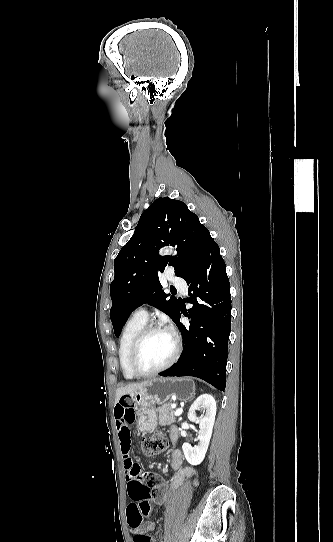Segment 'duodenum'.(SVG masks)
Returning <instances> with one entry per match:
<instances>
[{
    "instance_id": "obj_1",
    "label": "duodenum",
    "mask_w": 333,
    "mask_h": 542,
    "mask_svg": "<svg viewBox=\"0 0 333 542\" xmlns=\"http://www.w3.org/2000/svg\"><path fill=\"white\" fill-rule=\"evenodd\" d=\"M177 438H178V435H177V434H172V435H171V440H172V441H175Z\"/></svg>"
}]
</instances>
